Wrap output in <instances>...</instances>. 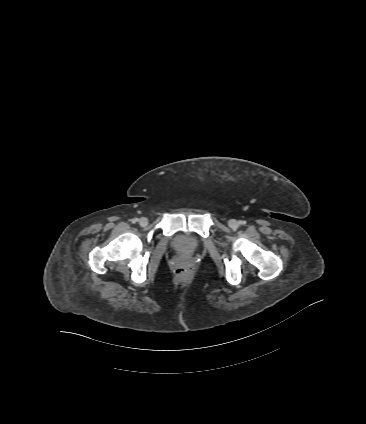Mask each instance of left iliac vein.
Wrapping results in <instances>:
<instances>
[{"label":"left iliac vein","mask_w":366,"mask_h":424,"mask_svg":"<svg viewBox=\"0 0 366 424\" xmlns=\"http://www.w3.org/2000/svg\"><path fill=\"white\" fill-rule=\"evenodd\" d=\"M228 225H229L231 228H234V229L238 228V222H237L235 219H230V220L228 221Z\"/></svg>","instance_id":"left-iliac-vein-1"}]
</instances>
